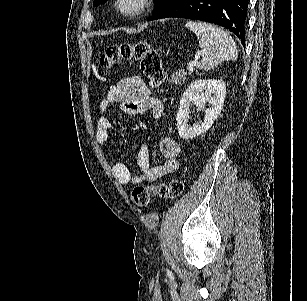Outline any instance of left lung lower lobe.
<instances>
[{"label": "left lung lower lobe", "instance_id": "1", "mask_svg": "<svg viewBox=\"0 0 307 301\" xmlns=\"http://www.w3.org/2000/svg\"><path fill=\"white\" fill-rule=\"evenodd\" d=\"M248 0H177L157 19L178 17L202 20L232 31L245 46Z\"/></svg>", "mask_w": 307, "mask_h": 301}]
</instances>
